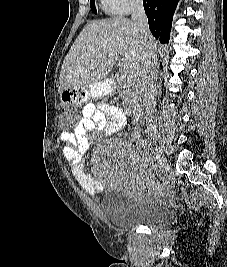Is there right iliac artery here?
I'll return each instance as SVG.
<instances>
[{
  "label": "right iliac artery",
  "mask_w": 227,
  "mask_h": 267,
  "mask_svg": "<svg viewBox=\"0 0 227 267\" xmlns=\"http://www.w3.org/2000/svg\"><path fill=\"white\" fill-rule=\"evenodd\" d=\"M156 159H157V157L152 156V158H151V166L152 167H155L156 166Z\"/></svg>",
  "instance_id": "obj_1"
}]
</instances>
